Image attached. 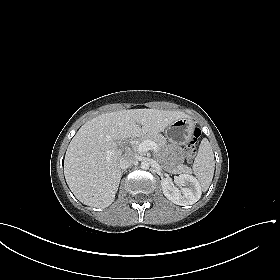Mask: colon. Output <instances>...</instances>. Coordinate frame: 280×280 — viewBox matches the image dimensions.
Segmentation results:
<instances>
[{
    "label": "colon",
    "mask_w": 280,
    "mask_h": 280,
    "mask_svg": "<svg viewBox=\"0 0 280 280\" xmlns=\"http://www.w3.org/2000/svg\"><path fill=\"white\" fill-rule=\"evenodd\" d=\"M200 136V131L195 129L191 139L185 145V156L187 160H191L196 154V142Z\"/></svg>",
    "instance_id": "1"
}]
</instances>
